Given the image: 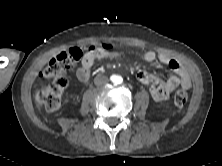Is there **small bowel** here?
<instances>
[{
    "label": "small bowel",
    "instance_id": "1",
    "mask_svg": "<svg viewBox=\"0 0 222 166\" xmlns=\"http://www.w3.org/2000/svg\"><path fill=\"white\" fill-rule=\"evenodd\" d=\"M120 56V52L102 47H97L92 51H88L84 54L81 65L76 70V78L80 82L86 83L90 80L91 69L96 60L104 58L116 59ZM143 59L146 62H153L158 59L162 64L166 65L174 72V75L166 80L161 79L146 70H140L137 72V79L143 84L150 85V93L154 100L163 101L168 99L170 93L179 85L185 89L191 87V79L187 70L167 54H156L154 51H147L143 54Z\"/></svg>",
    "mask_w": 222,
    "mask_h": 166
}]
</instances>
